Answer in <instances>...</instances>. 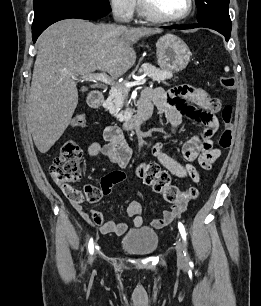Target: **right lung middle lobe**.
<instances>
[{
	"instance_id": "1",
	"label": "right lung middle lobe",
	"mask_w": 261,
	"mask_h": 306,
	"mask_svg": "<svg viewBox=\"0 0 261 306\" xmlns=\"http://www.w3.org/2000/svg\"><path fill=\"white\" fill-rule=\"evenodd\" d=\"M65 1H72V2H77V3H82V4H88L94 7H98L101 9L111 11L109 0H65Z\"/></svg>"
}]
</instances>
